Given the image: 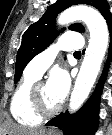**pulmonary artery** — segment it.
Listing matches in <instances>:
<instances>
[{
    "instance_id": "e3ab8cb5",
    "label": "pulmonary artery",
    "mask_w": 112,
    "mask_h": 135,
    "mask_svg": "<svg viewBox=\"0 0 112 135\" xmlns=\"http://www.w3.org/2000/svg\"><path fill=\"white\" fill-rule=\"evenodd\" d=\"M83 46L79 33L64 34L59 42L53 43L36 56L26 67L25 72L40 78L45 70L53 63L60 50L77 51Z\"/></svg>"
}]
</instances>
